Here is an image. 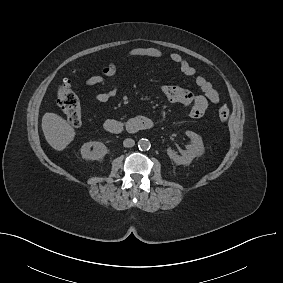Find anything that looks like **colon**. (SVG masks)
<instances>
[{"mask_svg": "<svg viewBox=\"0 0 283 283\" xmlns=\"http://www.w3.org/2000/svg\"><path fill=\"white\" fill-rule=\"evenodd\" d=\"M57 102L66 115L67 122L78 127L82 122V108L80 100L72 88L71 80H63L57 87ZM218 117L221 122H227L230 117V110L222 105L218 110Z\"/></svg>", "mask_w": 283, "mask_h": 283, "instance_id": "colon-1", "label": "colon"}]
</instances>
